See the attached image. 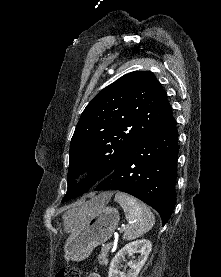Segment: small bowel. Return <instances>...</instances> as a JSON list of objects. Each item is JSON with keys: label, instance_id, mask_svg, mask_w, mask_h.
<instances>
[{"label": "small bowel", "instance_id": "1", "mask_svg": "<svg viewBox=\"0 0 221 277\" xmlns=\"http://www.w3.org/2000/svg\"><path fill=\"white\" fill-rule=\"evenodd\" d=\"M86 277H101V276L97 273H89Z\"/></svg>", "mask_w": 221, "mask_h": 277}]
</instances>
